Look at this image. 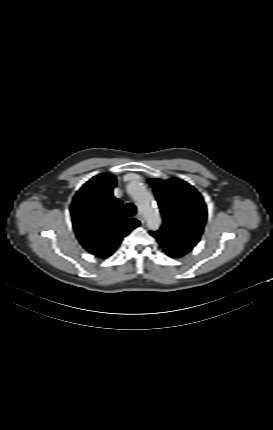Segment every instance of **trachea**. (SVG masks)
Here are the masks:
<instances>
[{"label": "trachea", "mask_w": 273, "mask_h": 430, "mask_svg": "<svg viewBox=\"0 0 273 430\" xmlns=\"http://www.w3.org/2000/svg\"><path fill=\"white\" fill-rule=\"evenodd\" d=\"M125 214L127 217H131V216H134L136 214V207L134 206L133 203L126 204Z\"/></svg>", "instance_id": "3493384b"}]
</instances>
